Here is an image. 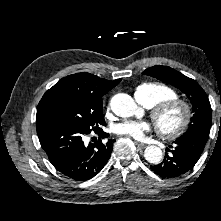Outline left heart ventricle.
I'll return each mask as SVG.
<instances>
[{
  "label": "left heart ventricle",
  "mask_w": 221,
  "mask_h": 221,
  "mask_svg": "<svg viewBox=\"0 0 221 221\" xmlns=\"http://www.w3.org/2000/svg\"><path fill=\"white\" fill-rule=\"evenodd\" d=\"M179 120V112L176 109H171L165 112L161 118V124L165 128L173 127Z\"/></svg>",
  "instance_id": "1"
}]
</instances>
